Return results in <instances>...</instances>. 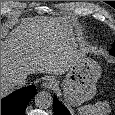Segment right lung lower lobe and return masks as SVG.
<instances>
[{
	"instance_id": "98d812e1",
	"label": "right lung lower lobe",
	"mask_w": 115,
	"mask_h": 115,
	"mask_svg": "<svg viewBox=\"0 0 115 115\" xmlns=\"http://www.w3.org/2000/svg\"><path fill=\"white\" fill-rule=\"evenodd\" d=\"M34 85L19 89L1 100V115H24L28 102L34 97Z\"/></svg>"
}]
</instances>
